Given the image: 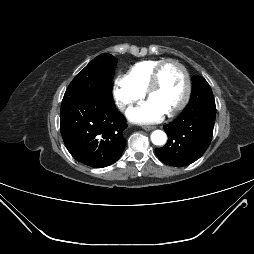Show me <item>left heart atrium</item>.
I'll use <instances>...</instances> for the list:
<instances>
[{"mask_svg":"<svg viewBox=\"0 0 254 254\" xmlns=\"http://www.w3.org/2000/svg\"><path fill=\"white\" fill-rule=\"evenodd\" d=\"M166 112L152 100H148L127 111L128 118L137 123H154L160 121Z\"/></svg>","mask_w":254,"mask_h":254,"instance_id":"obj_1","label":"left heart atrium"}]
</instances>
